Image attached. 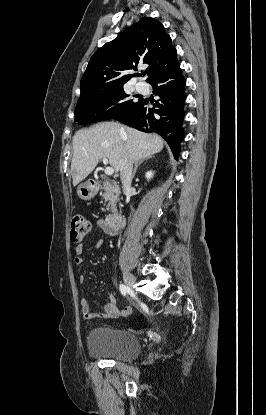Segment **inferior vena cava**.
I'll return each mask as SVG.
<instances>
[{
  "instance_id": "obj_1",
  "label": "inferior vena cava",
  "mask_w": 266,
  "mask_h": 415,
  "mask_svg": "<svg viewBox=\"0 0 266 415\" xmlns=\"http://www.w3.org/2000/svg\"><path fill=\"white\" fill-rule=\"evenodd\" d=\"M133 161L126 158L120 170L123 192L126 194L131 188Z\"/></svg>"
}]
</instances>
